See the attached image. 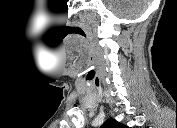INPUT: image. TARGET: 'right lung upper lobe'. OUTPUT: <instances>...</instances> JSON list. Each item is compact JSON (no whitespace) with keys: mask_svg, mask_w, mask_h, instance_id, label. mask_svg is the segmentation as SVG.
<instances>
[{"mask_svg":"<svg viewBox=\"0 0 177 128\" xmlns=\"http://www.w3.org/2000/svg\"><path fill=\"white\" fill-rule=\"evenodd\" d=\"M103 128H127V126L117 122L115 119H108L103 125Z\"/></svg>","mask_w":177,"mask_h":128,"instance_id":"cb5924a9","label":"right lung upper lobe"}]
</instances>
